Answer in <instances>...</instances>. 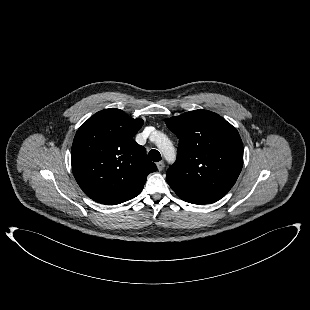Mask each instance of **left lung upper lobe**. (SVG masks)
<instances>
[{"mask_svg": "<svg viewBox=\"0 0 310 310\" xmlns=\"http://www.w3.org/2000/svg\"><path fill=\"white\" fill-rule=\"evenodd\" d=\"M179 138L169 186L181 198L214 203L235 184L243 166V144L235 127L218 114L194 110L166 120Z\"/></svg>", "mask_w": 310, "mask_h": 310, "instance_id": "obj_1", "label": "left lung upper lobe"}]
</instances>
